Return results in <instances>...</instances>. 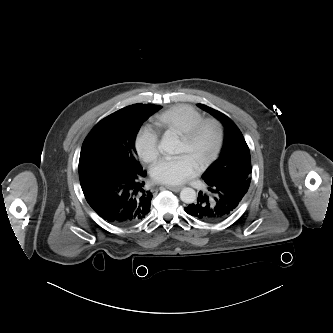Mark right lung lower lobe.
Masks as SVG:
<instances>
[{
    "label": "right lung lower lobe",
    "mask_w": 333,
    "mask_h": 333,
    "mask_svg": "<svg viewBox=\"0 0 333 333\" xmlns=\"http://www.w3.org/2000/svg\"><path fill=\"white\" fill-rule=\"evenodd\" d=\"M145 175L90 169L79 172V179L91 208L104 220L125 226L140 222L150 211L153 195L140 181Z\"/></svg>",
    "instance_id": "obj_1"
}]
</instances>
